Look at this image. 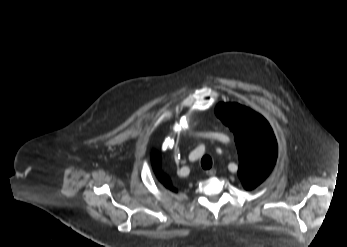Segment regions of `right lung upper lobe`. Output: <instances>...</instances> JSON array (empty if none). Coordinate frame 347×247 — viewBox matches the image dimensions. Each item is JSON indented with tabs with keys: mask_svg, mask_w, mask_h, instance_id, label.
<instances>
[{
	"mask_svg": "<svg viewBox=\"0 0 347 247\" xmlns=\"http://www.w3.org/2000/svg\"><path fill=\"white\" fill-rule=\"evenodd\" d=\"M152 165L158 179L165 184L166 187L173 190L172 183L170 179L161 171L160 168V155L158 152L154 151L152 153Z\"/></svg>",
	"mask_w": 347,
	"mask_h": 247,
	"instance_id": "cb5924a9",
	"label": "right lung upper lobe"
}]
</instances>
